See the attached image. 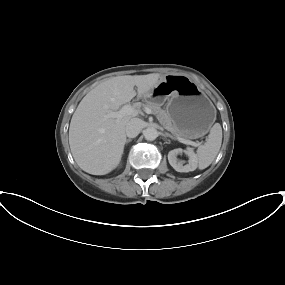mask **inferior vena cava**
<instances>
[{
	"mask_svg": "<svg viewBox=\"0 0 285 285\" xmlns=\"http://www.w3.org/2000/svg\"><path fill=\"white\" fill-rule=\"evenodd\" d=\"M143 128V121L138 118H133L129 121L126 126L125 132L127 137L134 138L136 137Z\"/></svg>",
	"mask_w": 285,
	"mask_h": 285,
	"instance_id": "obj_1",
	"label": "inferior vena cava"
}]
</instances>
